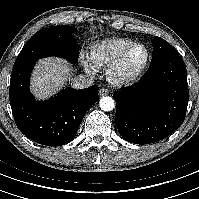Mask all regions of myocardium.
I'll list each match as a JSON object with an SVG mask.
<instances>
[{"instance_id":"myocardium-1","label":"myocardium","mask_w":199,"mask_h":199,"mask_svg":"<svg viewBox=\"0 0 199 199\" xmlns=\"http://www.w3.org/2000/svg\"><path fill=\"white\" fill-rule=\"evenodd\" d=\"M138 47L143 48L144 53H145L141 66L133 74L123 75L122 68L127 56L132 50ZM150 58H151L150 51L145 44L133 43L129 45L119 54L116 60L106 69L107 81L111 85L116 86V87H127V86L137 83L146 72L150 63Z\"/></svg>"}]
</instances>
